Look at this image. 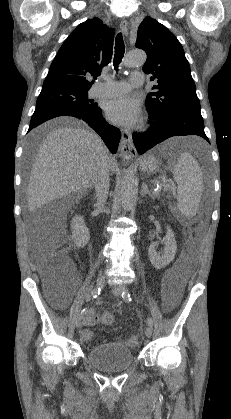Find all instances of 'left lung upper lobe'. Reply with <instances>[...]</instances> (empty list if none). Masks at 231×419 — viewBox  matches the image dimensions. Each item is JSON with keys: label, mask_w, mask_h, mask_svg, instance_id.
<instances>
[{"label": "left lung upper lobe", "mask_w": 231, "mask_h": 419, "mask_svg": "<svg viewBox=\"0 0 231 419\" xmlns=\"http://www.w3.org/2000/svg\"><path fill=\"white\" fill-rule=\"evenodd\" d=\"M136 47L147 53L143 71L151 73V80L157 81L153 86L155 91L146 99L149 112L160 114L186 107L200 108L183 47L164 25L146 17L139 25Z\"/></svg>", "instance_id": "5c2ea615"}]
</instances>
